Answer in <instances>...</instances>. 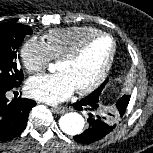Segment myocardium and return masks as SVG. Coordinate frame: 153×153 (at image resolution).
I'll list each match as a JSON object with an SVG mask.
<instances>
[{
	"mask_svg": "<svg viewBox=\"0 0 153 153\" xmlns=\"http://www.w3.org/2000/svg\"><path fill=\"white\" fill-rule=\"evenodd\" d=\"M103 37L109 38L111 40L112 50H111L110 56L105 64L103 70L101 71V73L98 75V77L93 82H91L86 87L75 89V92L79 95H85V94H88V93L94 91L97 87H99L102 84V82L108 76V74L111 70V67L113 65L115 55H116V50H117V44H116L115 39L108 33H105V32L97 33L95 35L89 36L86 39H84L75 49H73L71 52H69L68 54L64 55L63 57H61L59 59V62L75 61L77 58L80 57V55L83 53V51L86 49V47L91 42H93L94 40H97L99 38H103Z\"/></svg>",
	"mask_w": 153,
	"mask_h": 153,
	"instance_id": "1",
	"label": "myocardium"
}]
</instances>
